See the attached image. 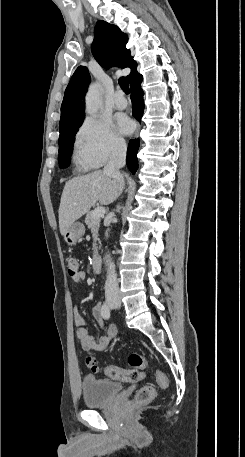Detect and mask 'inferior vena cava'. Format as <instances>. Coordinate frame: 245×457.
Returning a JSON list of instances; mask_svg holds the SVG:
<instances>
[{
	"instance_id": "obj_1",
	"label": "inferior vena cava",
	"mask_w": 245,
	"mask_h": 457,
	"mask_svg": "<svg viewBox=\"0 0 245 457\" xmlns=\"http://www.w3.org/2000/svg\"><path fill=\"white\" fill-rule=\"evenodd\" d=\"M126 150L127 144L125 140H116L114 148L110 154V160H108V164L104 166L103 170V172H106V174H109L112 178H117V180L122 182V184L124 182V178L119 168L125 164ZM111 214L114 216L113 212H111ZM105 293L106 297H113V295H118L119 293L114 263H110L109 273L105 283Z\"/></svg>"
}]
</instances>
